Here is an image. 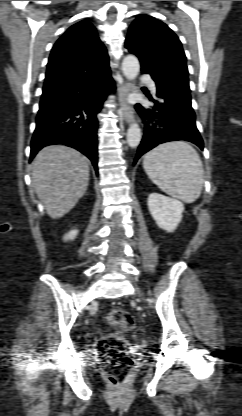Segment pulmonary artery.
I'll use <instances>...</instances> for the list:
<instances>
[{"label":"pulmonary artery","mask_w":242,"mask_h":416,"mask_svg":"<svg viewBox=\"0 0 242 416\" xmlns=\"http://www.w3.org/2000/svg\"><path fill=\"white\" fill-rule=\"evenodd\" d=\"M140 80L142 82H146L152 91H156L155 83L152 80H150V78L148 76L142 75L140 77Z\"/></svg>","instance_id":"pulmonary-artery-1"}]
</instances>
